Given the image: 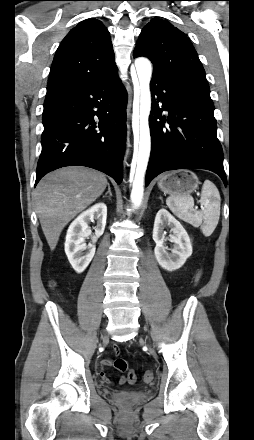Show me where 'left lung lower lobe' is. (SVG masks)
<instances>
[{
  "label": "left lung lower lobe",
  "instance_id": "0a47b994",
  "mask_svg": "<svg viewBox=\"0 0 254 440\" xmlns=\"http://www.w3.org/2000/svg\"><path fill=\"white\" fill-rule=\"evenodd\" d=\"M151 92L152 145L146 185L164 171L182 168L213 171L226 184L212 100L171 84L167 76L156 71H153ZM164 110L168 111L167 116L162 115Z\"/></svg>",
  "mask_w": 254,
  "mask_h": 440
}]
</instances>
